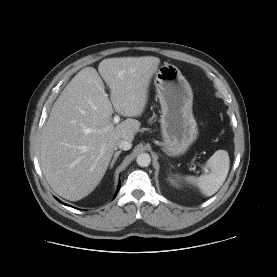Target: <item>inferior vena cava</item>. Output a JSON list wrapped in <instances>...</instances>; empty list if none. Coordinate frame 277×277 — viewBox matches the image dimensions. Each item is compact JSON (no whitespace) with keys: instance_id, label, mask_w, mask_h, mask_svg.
<instances>
[{"instance_id":"1","label":"inferior vena cava","mask_w":277,"mask_h":277,"mask_svg":"<svg viewBox=\"0 0 277 277\" xmlns=\"http://www.w3.org/2000/svg\"><path fill=\"white\" fill-rule=\"evenodd\" d=\"M116 147L122 150H129L132 147V144L130 141L127 140H120L117 142Z\"/></svg>"}]
</instances>
